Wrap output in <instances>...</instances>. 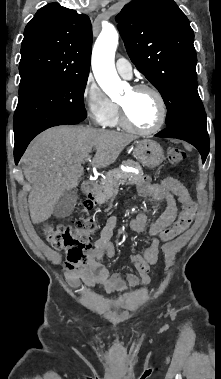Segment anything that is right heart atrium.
I'll return each mask as SVG.
<instances>
[{
    "label": "right heart atrium",
    "mask_w": 221,
    "mask_h": 379,
    "mask_svg": "<svg viewBox=\"0 0 221 379\" xmlns=\"http://www.w3.org/2000/svg\"><path fill=\"white\" fill-rule=\"evenodd\" d=\"M82 101L88 115L100 125H108L117 113V105L105 94L92 78H88Z\"/></svg>",
    "instance_id": "d8ad5b80"
}]
</instances>
